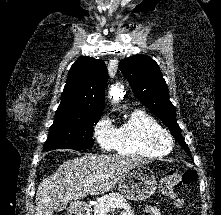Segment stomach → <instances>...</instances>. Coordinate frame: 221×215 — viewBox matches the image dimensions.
I'll return each mask as SVG.
<instances>
[{"mask_svg":"<svg viewBox=\"0 0 221 215\" xmlns=\"http://www.w3.org/2000/svg\"><path fill=\"white\" fill-rule=\"evenodd\" d=\"M156 186L153 171L144 165H138L120 179L118 190L128 200L143 201L154 194ZM77 215H83V210Z\"/></svg>","mask_w":221,"mask_h":215,"instance_id":"0dacf381","label":"stomach"}]
</instances>
